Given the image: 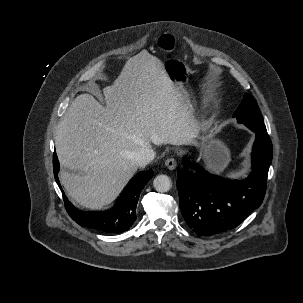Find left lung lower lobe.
Segmentation results:
<instances>
[{"instance_id":"0a47b994","label":"left lung lower lobe","mask_w":303,"mask_h":303,"mask_svg":"<svg viewBox=\"0 0 303 303\" xmlns=\"http://www.w3.org/2000/svg\"><path fill=\"white\" fill-rule=\"evenodd\" d=\"M256 133L252 171L243 180L212 175L195 163L196 173L178 172L177 188L181 213L199 236H211L237 227L258 208L265 196L267 175L272 161V143L267 132L246 125ZM187 159L183 164L187 165Z\"/></svg>"}]
</instances>
